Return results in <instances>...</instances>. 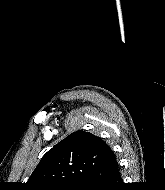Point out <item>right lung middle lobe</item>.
<instances>
[{"instance_id":"obj_1","label":"right lung middle lobe","mask_w":165,"mask_h":190,"mask_svg":"<svg viewBox=\"0 0 165 190\" xmlns=\"http://www.w3.org/2000/svg\"><path fill=\"white\" fill-rule=\"evenodd\" d=\"M81 181L71 183V184H65L61 186H55L52 188H49L48 190H80Z\"/></svg>"}]
</instances>
